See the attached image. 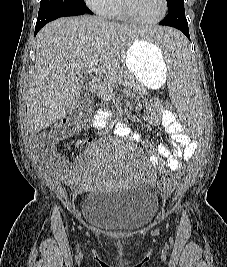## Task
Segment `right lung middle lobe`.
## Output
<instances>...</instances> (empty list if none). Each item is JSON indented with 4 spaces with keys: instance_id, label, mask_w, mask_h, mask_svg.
Returning <instances> with one entry per match:
<instances>
[{
    "instance_id": "dd1d6c3e",
    "label": "right lung middle lobe",
    "mask_w": 227,
    "mask_h": 267,
    "mask_svg": "<svg viewBox=\"0 0 227 267\" xmlns=\"http://www.w3.org/2000/svg\"><path fill=\"white\" fill-rule=\"evenodd\" d=\"M40 7H86L84 0H41Z\"/></svg>"
}]
</instances>
